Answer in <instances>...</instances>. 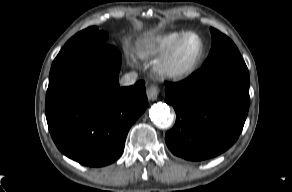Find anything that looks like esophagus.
Wrapping results in <instances>:
<instances>
[{
  "label": "esophagus",
  "mask_w": 292,
  "mask_h": 192,
  "mask_svg": "<svg viewBox=\"0 0 292 192\" xmlns=\"http://www.w3.org/2000/svg\"><path fill=\"white\" fill-rule=\"evenodd\" d=\"M158 95H159V88L157 86L153 85L147 89V97L149 100L151 101L157 100Z\"/></svg>",
  "instance_id": "34e87169"
}]
</instances>
